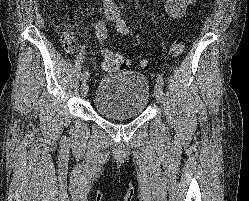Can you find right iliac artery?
Masks as SVG:
<instances>
[{
    "instance_id": "obj_1",
    "label": "right iliac artery",
    "mask_w": 249,
    "mask_h": 201,
    "mask_svg": "<svg viewBox=\"0 0 249 201\" xmlns=\"http://www.w3.org/2000/svg\"><path fill=\"white\" fill-rule=\"evenodd\" d=\"M96 35L100 40H105L107 38V28L104 22H99L96 28ZM89 72H85L81 76V80H87L89 78Z\"/></svg>"
}]
</instances>
